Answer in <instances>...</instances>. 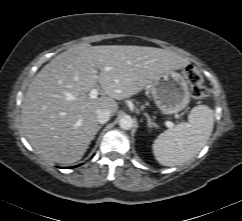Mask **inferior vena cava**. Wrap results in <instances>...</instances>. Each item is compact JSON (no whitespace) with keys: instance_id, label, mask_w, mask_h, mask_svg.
<instances>
[{"instance_id":"602c4592","label":"inferior vena cava","mask_w":242,"mask_h":221,"mask_svg":"<svg viewBox=\"0 0 242 221\" xmlns=\"http://www.w3.org/2000/svg\"><path fill=\"white\" fill-rule=\"evenodd\" d=\"M97 121L100 124L106 123L111 116V112L107 109H98L96 111Z\"/></svg>"}]
</instances>
